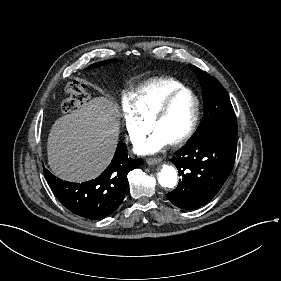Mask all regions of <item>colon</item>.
Segmentation results:
<instances>
[{"mask_svg":"<svg viewBox=\"0 0 281 281\" xmlns=\"http://www.w3.org/2000/svg\"><path fill=\"white\" fill-rule=\"evenodd\" d=\"M66 98L62 103V111L71 114L89 101V93L79 82H71L65 89Z\"/></svg>","mask_w":281,"mask_h":281,"instance_id":"colon-1","label":"colon"}]
</instances>
